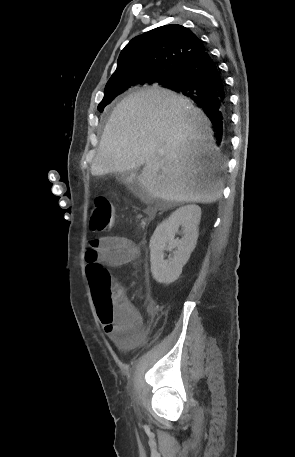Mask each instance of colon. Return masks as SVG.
I'll return each mask as SVG.
<instances>
[{
	"label": "colon",
	"instance_id": "colon-1",
	"mask_svg": "<svg viewBox=\"0 0 295 457\" xmlns=\"http://www.w3.org/2000/svg\"><path fill=\"white\" fill-rule=\"evenodd\" d=\"M115 210L106 197H97L90 214V227L94 232H107L114 222ZM86 275L92 291L99 319L109 322L121 311L123 295L108 271L99 262H88Z\"/></svg>",
	"mask_w": 295,
	"mask_h": 457
}]
</instances>
